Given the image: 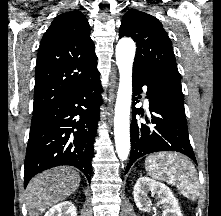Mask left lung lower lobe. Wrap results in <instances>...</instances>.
<instances>
[{
	"mask_svg": "<svg viewBox=\"0 0 221 216\" xmlns=\"http://www.w3.org/2000/svg\"><path fill=\"white\" fill-rule=\"evenodd\" d=\"M146 85L151 115L146 116V124H139L136 114L143 115L140 108H134L131 125V154L127 165H131L140 157L159 151H176L183 153L196 162L189 141L186 116L173 107L160 86L140 68H133V106L136 95L142 92Z\"/></svg>",
	"mask_w": 221,
	"mask_h": 216,
	"instance_id": "obj_1",
	"label": "left lung lower lobe"
}]
</instances>
